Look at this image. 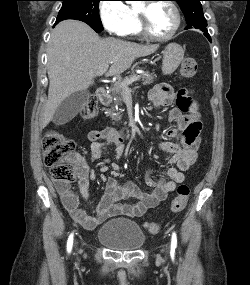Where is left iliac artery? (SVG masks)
I'll list each match as a JSON object with an SVG mask.
<instances>
[{"mask_svg":"<svg viewBox=\"0 0 250 285\" xmlns=\"http://www.w3.org/2000/svg\"><path fill=\"white\" fill-rule=\"evenodd\" d=\"M177 247V236L176 233L173 232L172 238H171V248L174 250Z\"/></svg>","mask_w":250,"mask_h":285,"instance_id":"1","label":"left iliac artery"}]
</instances>
